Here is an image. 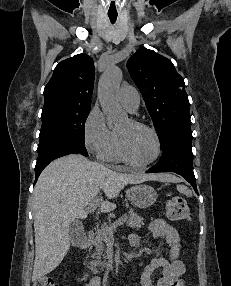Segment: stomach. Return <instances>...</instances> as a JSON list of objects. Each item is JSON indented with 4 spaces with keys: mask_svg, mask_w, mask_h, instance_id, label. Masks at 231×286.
Segmentation results:
<instances>
[{
    "mask_svg": "<svg viewBox=\"0 0 231 286\" xmlns=\"http://www.w3.org/2000/svg\"><path fill=\"white\" fill-rule=\"evenodd\" d=\"M129 201L138 208H148L155 203L158 194L147 184H138L126 190Z\"/></svg>",
    "mask_w": 231,
    "mask_h": 286,
    "instance_id": "stomach-1",
    "label": "stomach"
}]
</instances>
